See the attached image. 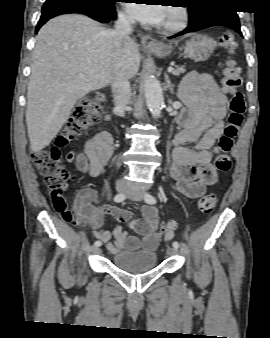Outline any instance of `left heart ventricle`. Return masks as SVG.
<instances>
[{"label":"left heart ventricle","instance_id":"1","mask_svg":"<svg viewBox=\"0 0 270 338\" xmlns=\"http://www.w3.org/2000/svg\"><path fill=\"white\" fill-rule=\"evenodd\" d=\"M174 18H175V12L173 10L169 9L164 13L163 19L161 20V22L159 24L160 25L166 24V23L172 21Z\"/></svg>","mask_w":270,"mask_h":338}]
</instances>
